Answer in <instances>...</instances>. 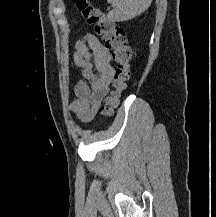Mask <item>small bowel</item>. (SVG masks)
<instances>
[{"label":"small bowel","instance_id":"obj_1","mask_svg":"<svg viewBox=\"0 0 216 217\" xmlns=\"http://www.w3.org/2000/svg\"><path fill=\"white\" fill-rule=\"evenodd\" d=\"M74 63L82 79L75 86L70 110L82 123L90 122L107 96L114 78L113 54L96 36L86 34L76 42Z\"/></svg>","mask_w":216,"mask_h":217}]
</instances>
